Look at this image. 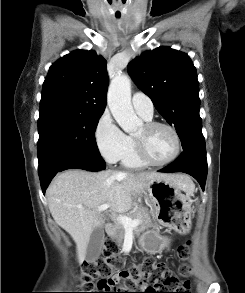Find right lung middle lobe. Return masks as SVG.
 Instances as JSON below:
<instances>
[{
    "label": "right lung middle lobe",
    "instance_id": "obj_1",
    "mask_svg": "<svg viewBox=\"0 0 245 293\" xmlns=\"http://www.w3.org/2000/svg\"><path fill=\"white\" fill-rule=\"evenodd\" d=\"M101 115L64 110L40 112L38 171L44 170L56 158L68 154L101 157L95 140V130Z\"/></svg>",
    "mask_w": 245,
    "mask_h": 293
}]
</instances>
